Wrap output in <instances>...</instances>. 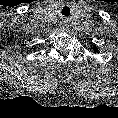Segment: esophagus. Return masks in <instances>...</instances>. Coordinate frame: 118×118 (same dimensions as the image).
Wrapping results in <instances>:
<instances>
[{"label": "esophagus", "instance_id": "obj_1", "mask_svg": "<svg viewBox=\"0 0 118 118\" xmlns=\"http://www.w3.org/2000/svg\"><path fill=\"white\" fill-rule=\"evenodd\" d=\"M58 28H59V31H62V32L66 31L67 30V22L64 19H62L59 23Z\"/></svg>", "mask_w": 118, "mask_h": 118}]
</instances>
